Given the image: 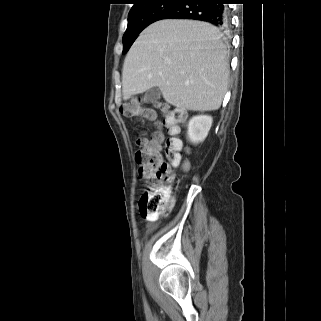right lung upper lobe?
<instances>
[{
  "mask_svg": "<svg viewBox=\"0 0 321 321\" xmlns=\"http://www.w3.org/2000/svg\"><path fill=\"white\" fill-rule=\"evenodd\" d=\"M151 0H134V5L133 6H138V5H142L145 2H148Z\"/></svg>",
  "mask_w": 321,
  "mask_h": 321,
  "instance_id": "1",
  "label": "right lung upper lobe"
}]
</instances>
